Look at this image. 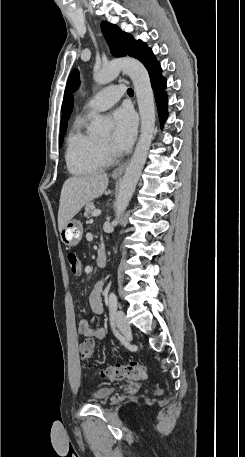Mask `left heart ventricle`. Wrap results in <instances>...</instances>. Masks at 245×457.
<instances>
[{
  "instance_id": "obj_1",
  "label": "left heart ventricle",
  "mask_w": 245,
  "mask_h": 457,
  "mask_svg": "<svg viewBox=\"0 0 245 457\" xmlns=\"http://www.w3.org/2000/svg\"><path fill=\"white\" fill-rule=\"evenodd\" d=\"M99 141L101 143L109 146L111 143V136L101 137V138H99Z\"/></svg>"
}]
</instances>
